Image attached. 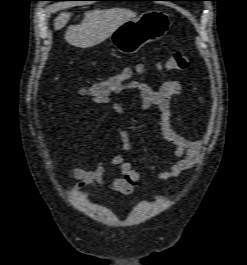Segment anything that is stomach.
<instances>
[{"instance_id": "1", "label": "stomach", "mask_w": 247, "mask_h": 265, "mask_svg": "<svg viewBox=\"0 0 247 265\" xmlns=\"http://www.w3.org/2000/svg\"><path fill=\"white\" fill-rule=\"evenodd\" d=\"M171 26L169 15L161 10H149L118 27L110 41L118 51L133 54L144 45L161 39Z\"/></svg>"}]
</instances>
